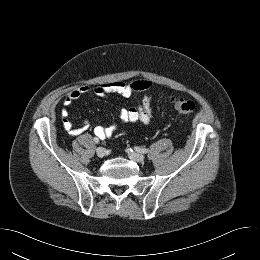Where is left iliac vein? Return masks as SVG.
<instances>
[{
    "instance_id": "4c4485c4",
    "label": "left iliac vein",
    "mask_w": 260,
    "mask_h": 260,
    "mask_svg": "<svg viewBox=\"0 0 260 260\" xmlns=\"http://www.w3.org/2000/svg\"><path fill=\"white\" fill-rule=\"evenodd\" d=\"M128 157L135 162H143L145 159L144 155L135 152H128Z\"/></svg>"
}]
</instances>
